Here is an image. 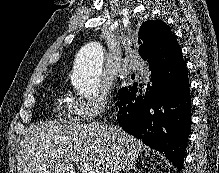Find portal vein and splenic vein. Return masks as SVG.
I'll list each match as a JSON object with an SVG mask.
<instances>
[{"label":"portal vein and splenic vein","instance_id":"portal-vein-and-splenic-vein-1","mask_svg":"<svg viewBox=\"0 0 219 173\" xmlns=\"http://www.w3.org/2000/svg\"><path fill=\"white\" fill-rule=\"evenodd\" d=\"M79 168L84 172V173H88V169L87 168H83V167H81V166H79Z\"/></svg>","mask_w":219,"mask_h":173}]
</instances>
